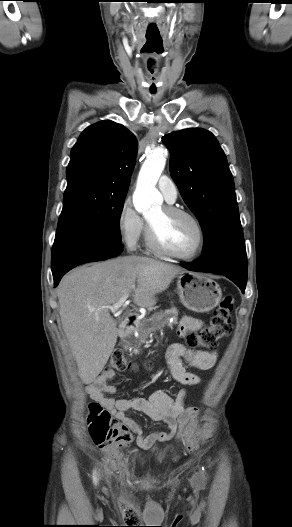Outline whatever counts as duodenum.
<instances>
[{
    "label": "duodenum",
    "mask_w": 292,
    "mask_h": 527,
    "mask_svg": "<svg viewBox=\"0 0 292 527\" xmlns=\"http://www.w3.org/2000/svg\"><path fill=\"white\" fill-rule=\"evenodd\" d=\"M135 327H136V316L131 315L130 317L125 319L120 324V328H119V335H120V337L128 336L130 333H132V331L135 329Z\"/></svg>",
    "instance_id": "duodenum-1"
}]
</instances>
